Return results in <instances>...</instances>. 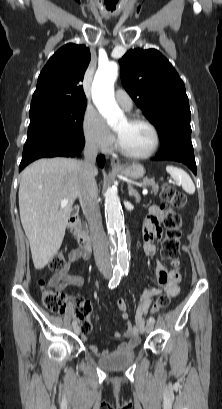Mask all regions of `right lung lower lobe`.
Masks as SVG:
<instances>
[{
    "instance_id": "98d812e1",
    "label": "right lung lower lobe",
    "mask_w": 222,
    "mask_h": 409,
    "mask_svg": "<svg viewBox=\"0 0 222 409\" xmlns=\"http://www.w3.org/2000/svg\"><path fill=\"white\" fill-rule=\"evenodd\" d=\"M84 147V144L78 148H75L71 151L64 152V153H38L34 154L25 158H22L20 166H19V171H21L24 167H26L29 163L32 161L42 158V157H55V156H65V157H74L75 155H78ZM97 163L100 167H103L105 164V158L103 155L97 157Z\"/></svg>"
}]
</instances>
